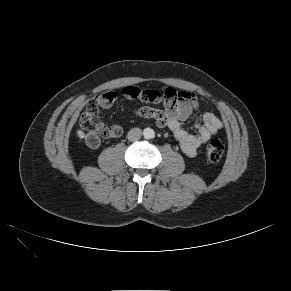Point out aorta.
Listing matches in <instances>:
<instances>
[{
  "label": "aorta",
  "instance_id": "762f6f07",
  "mask_svg": "<svg viewBox=\"0 0 291 291\" xmlns=\"http://www.w3.org/2000/svg\"><path fill=\"white\" fill-rule=\"evenodd\" d=\"M144 137L147 139L153 138L154 137V131L151 128H146L143 131Z\"/></svg>",
  "mask_w": 291,
  "mask_h": 291
}]
</instances>
